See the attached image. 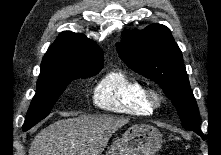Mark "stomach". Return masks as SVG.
<instances>
[{
  "instance_id": "0dacf381",
  "label": "stomach",
  "mask_w": 221,
  "mask_h": 155,
  "mask_svg": "<svg viewBox=\"0 0 221 155\" xmlns=\"http://www.w3.org/2000/svg\"><path fill=\"white\" fill-rule=\"evenodd\" d=\"M162 134L151 125L139 124L128 128L105 155H155L162 147Z\"/></svg>"
}]
</instances>
